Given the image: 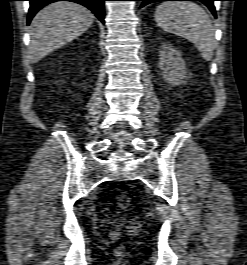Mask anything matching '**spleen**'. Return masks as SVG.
Wrapping results in <instances>:
<instances>
[{"instance_id":"1","label":"spleen","mask_w":247,"mask_h":265,"mask_svg":"<svg viewBox=\"0 0 247 265\" xmlns=\"http://www.w3.org/2000/svg\"><path fill=\"white\" fill-rule=\"evenodd\" d=\"M155 20L163 30L193 43L206 61L212 59L216 46L215 32L202 7L194 2H163L156 8Z\"/></svg>"}]
</instances>
